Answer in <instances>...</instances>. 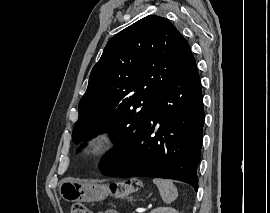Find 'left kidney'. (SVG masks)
<instances>
[{
  "label": "left kidney",
  "instance_id": "obj_1",
  "mask_svg": "<svg viewBox=\"0 0 270 213\" xmlns=\"http://www.w3.org/2000/svg\"><path fill=\"white\" fill-rule=\"evenodd\" d=\"M150 213H179V212L171 207H159L155 208Z\"/></svg>",
  "mask_w": 270,
  "mask_h": 213
}]
</instances>
